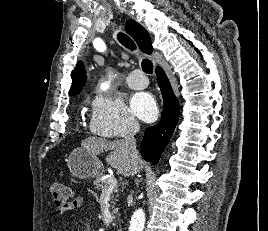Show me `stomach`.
<instances>
[{
	"label": "stomach",
	"instance_id": "obj_1",
	"mask_svg": "<svg viewBox=\"0 0 268 231\" xmlns=\"http://www.w3.org/2000/svg\"><path fill=\"white\" fill-rule=\"evenodd\" d=\"M67 165L72 175L79 179L100 177L103 172L99 158L83 147L70 153Z\"/></svg>",
	"mask_w": 268,
	"mask_h": 231
}]
</instances>
